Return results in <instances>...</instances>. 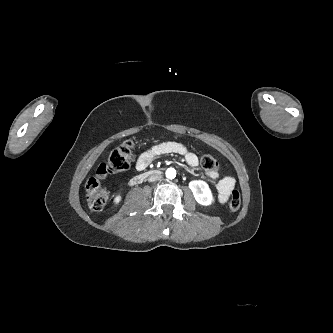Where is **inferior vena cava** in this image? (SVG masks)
Masks as SVG:
<instances>
[{
  "mask_svg": "<svg viewBox=\"0 0 333 333\" xmlns=\"http://www.w3.org/2000/svg\"><path fill=\"white\" fill-rule=\"evenodd\" d=\"M162 178L161 174H154L149 177L150 182H154L156 180H160Z\"/></svg>",
  "mask_w": 333,
  "mask_h": 333,
  "instance_id": "602c4592",
  "label": "inferior vena cava"
}]
</instances>
